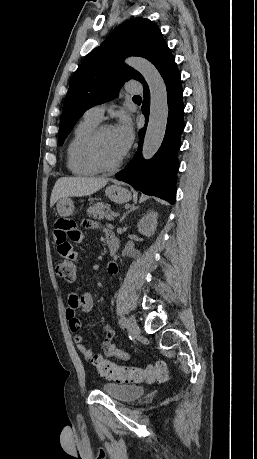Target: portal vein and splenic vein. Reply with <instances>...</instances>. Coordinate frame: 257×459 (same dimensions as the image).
<instances>
[{
  "mask_svg": "<svg viewBox=\"0 0 257 459\" xmlns=\"http://www.w3.org/2000/svg\"><path fill=\"white\" fill-rule=\"evenodd\" d=\"M105 218L109 221H113L114 220V215L113 214H110V213H106L105 214Z\"/></svg>",
  "mask_w": 257,
  "mask_h": 459,
  "instance_id": "1",
  "label": "portal vein and splenic vein"
}]
</instances>
